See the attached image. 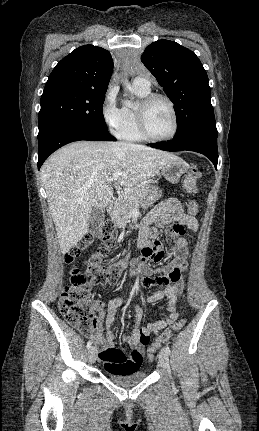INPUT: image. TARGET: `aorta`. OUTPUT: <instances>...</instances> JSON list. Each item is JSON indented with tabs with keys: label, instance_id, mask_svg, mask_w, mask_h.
Wrapping results in <instances>:
<instances>
[{
	"label": "aorta",
	"instance_id": "aorta-1",
	"mask_svg": "<svg viewBox=\"0 0 259 431\" xmlns=\"http://www.w3.org/2000/svg\"><path fill=\"white\" fill-rule=\"evenodd\" d=\"M122 82H123L124 86H128L129 85V81L127 79H123Z\"/></svg>",
	"mask_w": 259,
	"mask_h": 431
}]
</instances>
